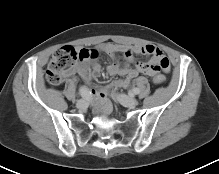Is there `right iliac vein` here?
<instances>
[{
    "instance_id": "right-iliac-vein-1",
    "label": "right iliac vein",
    "mask_w": 219,
    "mask_h": 174,
    "mask_svg": "<svg viewBox=\"0 0 219 174\" xmlns=\"http://www.w3.org/2000/svg\"><path fill=\"white\" fill-rule=\"evenodd\" d=\"M87 104H88V102H87L86 99H80V100L77 101L76 107L78 109H84L87 106Z\"/></svg>"
}]
</instances>
